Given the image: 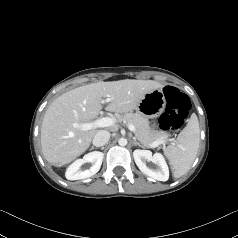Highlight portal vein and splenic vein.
<instances>
[{
	"instance_id": "obj_1",
	"label": "portal vein and splenic vein",
	"mask_w": 238,
	"mask_h": 238,
	"mask_svg": "<svg viewBox=\"0 0 238 238\" xmlns=\"http://www.w3.org/2000/svg\"><path fill=\"white\" fill-rule=\"evenodd\" d=\"M104 102H109V99H105L103 101ZM115 119L110 118V117H103L101 119H97L93 122H88V123H84L80 125L81 130L83 131H88V130H92V129H96V128H103V127H109V126H113L115 125ZM128 129L132 132H135V126L132 124H128L127 125ZM166 141L165 140H158L153 142L150 147L155 148L157 146H159L160 144H165Z\"/></svg>"
}]
</instances>
